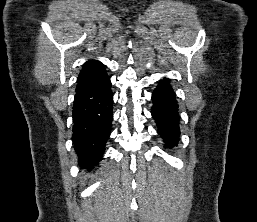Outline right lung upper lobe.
<instances>
[{"label": "right lung upper lobe", "mask_w": 257, "mask_h": 222, "mask_svg": "<svg viewBox=\"0 0 257 222\" xmlns=\"http://www.w3.org/2000/svg\"><path fill=\"white\" fill-rule=\"evenodd\" d=\"M105 74V66L101 62L94 60L85 62L79 73L76 89H80L94 83Z\"/></svg>", "instance_id": "right-lung-upper-lobe-1"}]
</instances>
